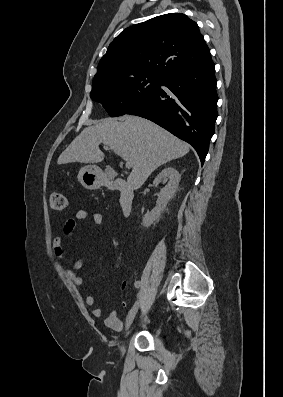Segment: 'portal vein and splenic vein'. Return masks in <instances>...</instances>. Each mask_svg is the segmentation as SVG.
Segmentation results:
<instances>
[{
	"instance_id": "obj_1",
	"label": "portal vein and splenic vein",
	"mask_w": 283,
	"mask_h": 397,
	"mask_svg": "<svg viewBox=\"0 0 283 397\" xmlns=\"http://www.w3.org/2000/svg\"><path fill=\"white\" fill-rule=\"evenodd\" d=\"M125 166H126V168H131V164L129 162H126Z\"/></svg>"
}]
</instances>
